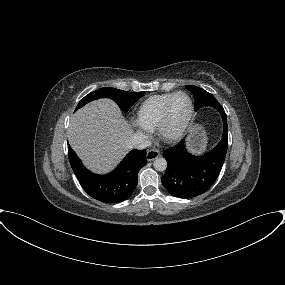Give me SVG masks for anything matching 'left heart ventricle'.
Masks as SVG:
<instances>
[{
	"label": "left heart ventricle",
	"mask_w": 285,
	"mask_h": 285,
	"mask_svg": "<svg viewBox=\"0 0 285 285\" xmlns=\"http://www.w3.org/2000/svg\"><path fill=\"white\" fill-rule=\"evenodd\" d=\"M190 112V103L186 96H177L170 107L169 126L168 129L174 132L181 128L185 123Z\"/></svg>",
	"instance_id": "left-heart-ventricle-1"
}]
</instances>
